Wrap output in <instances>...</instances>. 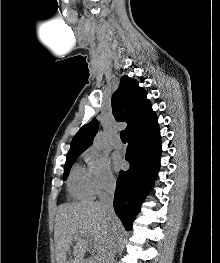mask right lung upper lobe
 Wrapping results in <instances>:
<instances>
[{
  "label": "right lung upper lobe",
  "instance_id": "1",
  "mask_svg": "<svg viewBox=\"0 0 220 263\" xmlns=\"http://www.w3.org/2000/svg\"><path fill=\"white\" fill-rule=\"evenodd\" d=\"M147 92L137 80L124 75L112 96V113L117 121L127 122L128 137L158 126L157 116L147 99ZM98 130L96 119L81 127L71 142L67 155L81 154L93 141Z\"/></svg>",
  "mask_w": 220,
  "mask_h": 263
}]
</instances>
